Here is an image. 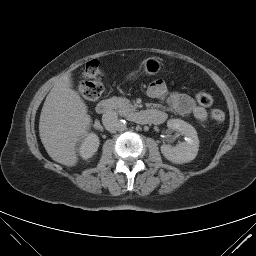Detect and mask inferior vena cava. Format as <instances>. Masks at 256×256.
Listing matches in <instances>:
<instances>
[{"mask_svg": "<svg viewBox=\"0 0 256 256\" xmlns=\"http://www.w3.org/2000/svg\"><path fill=\"white\" fill-rule=\"evenodd\" d=\"M102 122L108 131L113 132L117 130L118 127V114L113 110L107 111L102 116Z\"/></svg>", "mask_w": 256, "mask_h": 256, "instance_id": "inferior-vena-cava-1", "label": "inferior vena cava"}]
</instances>
